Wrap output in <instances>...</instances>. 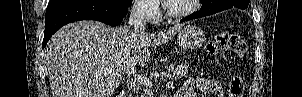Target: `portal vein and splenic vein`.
<instances>
[{"label":"portal vein and splenic vein","instance_id":"1","mask_svg":"<svg viewBox=\"0 0 302 97\" xmlns=\"http://www.w3.org/2000/svg\"><path fill=\"white\" fill-rule=\"evenodd\" d=\"M112 70H113V67H107V68L104 70V72H105V73H111ZM134 77H135V79H136L139 83L143 84L145 87L151 88V87L153 86L152 83H151V81H150L148 78L143 77L142 75H135Z\"/></svg>","mask_w":302,"mask_h":97}]
</instances>
